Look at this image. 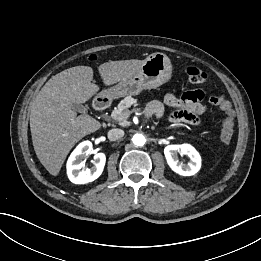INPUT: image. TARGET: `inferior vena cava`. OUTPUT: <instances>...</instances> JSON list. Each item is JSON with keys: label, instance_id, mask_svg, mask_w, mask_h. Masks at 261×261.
I'll list each match as a JSON object with an SVG mask.
<instances>
[{"label": "inferior vena cava", "instance_id": "1", "mask_svg": "<svg viewBox=\"0 0 261 261\" xmlns=\"http://www.w3.org/2000/svg\"><path fill=\"white\" fill-rule=\"evenodd\" d=\"M124 136V131L119 128H114L108 131V139L111 141H116Z\"/></svg>", "mask_w": 261, "mask_h": 261}]
</instances>
